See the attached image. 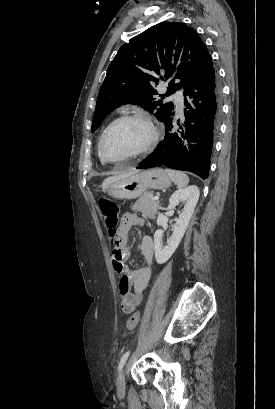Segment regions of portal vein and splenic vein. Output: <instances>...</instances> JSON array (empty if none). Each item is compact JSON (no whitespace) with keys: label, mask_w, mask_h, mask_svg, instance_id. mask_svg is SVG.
Instances as JSON below:
<instances>
[{"label":"portal vein and splenic vein","mask_w":275,"mask_h":409,"mask_svg":"<svg viewBox=\"0 0 275 409\" xmlns=\"http://www.w3.org/2000/svg\"><path fill=\"white\" fill-rule=\"evenodd\" d=\"M159 196H154V200H158Z\"/></svg>","instance_id":"portal-vein-and-splenic-vein-1"}]
</instances>
